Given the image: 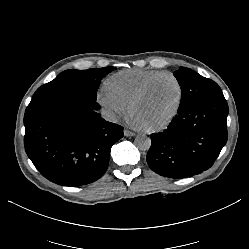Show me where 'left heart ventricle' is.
<instances>
[{"label": "left heart ventricle", "instance_id": "left-heart-ventricle-1", "mask_svg": "<svg viewBox=\"0 0 249 249\" xmlns=\"http://www.w3.org/2000/svg\"><path fill=\"white\" fill-rule=\"evenodd\" d=\"M179 98L176 82L169 77L156 81L133 106V112L144 127L155 126L166 120L175 110Z\"/></svg>", "mask_w": 249, "mask_h": 249}]
</instances>
